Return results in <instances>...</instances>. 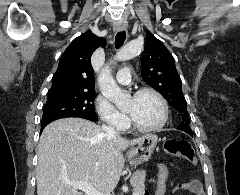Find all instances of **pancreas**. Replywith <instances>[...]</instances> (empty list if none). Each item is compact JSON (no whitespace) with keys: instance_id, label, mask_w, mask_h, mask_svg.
Listing matches in <instances>:
<instances>
[{"instance_id":"1","label":"pancreas","mask_w":240,"mask_h":195,"mask_svg":"<svg viewBox=\"0 0 240 195\" xmlns=\"http://www.w3.org/2000/svg\"><path fill=\"white\" fill-rule=\"evenodd\" d=\"M145 175H146L145 169H137V171H135L134 175H132V177L130 179V183L133 187L134 193H140V195H142V193H144V191H145V185H144Z\"/></svg>"}]
</instances>
